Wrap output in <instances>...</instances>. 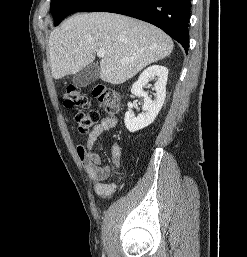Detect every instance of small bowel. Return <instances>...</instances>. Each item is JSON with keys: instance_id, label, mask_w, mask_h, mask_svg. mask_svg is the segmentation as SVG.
Returning a JSON list of instances; mask_svg holds the SVG:
<instances>
[{"instance_id": "small-bowel-1", "label": "small bowel", "mask_w": 247, "mask_h": 257, "mask_svg": "<svg viewBox=\"0 0 247 257\" xmlns=\"http://www.w3.org/2000/svg\"><path fill=\"white\" fill-rule=\"evenodd\" d=\"M116 124V118L107 117L102 119L101 122L95 125L86 135L85 145H79L77 147V155L83 163L89 178L94 182L95 193L101 198L110 197L115 192L121 179L122 150L118 143H114L111 147V159L115 170L118 172V178L115 181L107 182L111 170L109 166L103 165L102 158L95 149V143L104 131L115 127Z\"/></svg>"}]
</instances>
